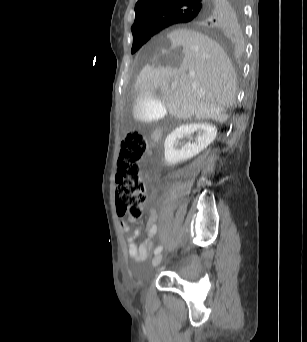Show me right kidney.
Masks as SVG:
<instances>
[{"label":"right kidney","instance_id":"right-kidney-1","mask_svg":"<svg viewBox=\"0 0 307 342\" xmlns=\"http://www.w3.org/2000/svg\"><path fill=\"white\" fill-rule=\"evenodd\" d=\"M199 130L200 136H197L195 144H186L181 150H176L175 146L178 144V138H183L185 134H194ZM217 136V128L209 122H200V124H184V126H179L176 130H173L171 134H168L165 142V162L167 166H174V164H179V162H184V160H190L197 156L199 152L205 150Z\"/></svg>","mask_w":307,"mask_h":342}]
</instances>
